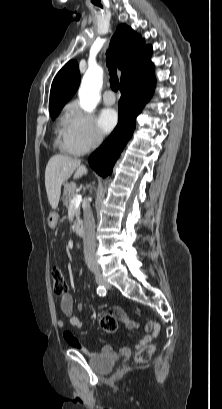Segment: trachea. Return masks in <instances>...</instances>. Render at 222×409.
<instances>
[{"label": "trachea", "instance_id": "3493384b", "mask_svg": "<svg viewBox=\"0 0 222 409\" xmlns=\"http://www.w3.org/2000/svg\"><path fill=\"white\" fill-rule=\"evenodd\" d=\"M106 61L110 74V83L114 91H118L119 81L116 75V63L113 54L110 51L106 53Z\"/></svg>", "mask_w": 222, "mask_h": 409}]
</instances>
